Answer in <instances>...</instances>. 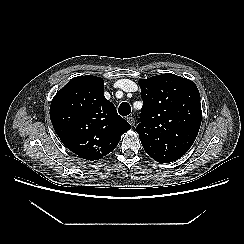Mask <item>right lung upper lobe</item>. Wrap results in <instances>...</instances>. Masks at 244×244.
I'll use <instances>...</instances> for the list:
<instances>
[{"label": "right lung upper lobe", "mask_w": 244, "mask_h": 244, "mask_svg": "<svg viewBox=\"0 0 244 244\" xmlns=\"http://www.w3.org/2000/svg\"><path fill=\"white\" fill-rule=\"evenodd\" d=\"M50 119L62 143L86 160L109 154L131 129L105 98L103 79L92 75L72 78L53 97Z\"/></svg>", "instance_id": "obj_1"}]
</instances>
